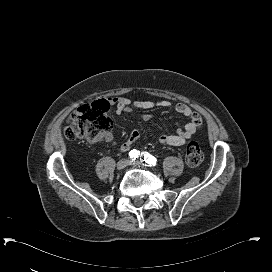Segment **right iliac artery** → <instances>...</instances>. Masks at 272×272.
I'll use <instances>...</instances> for the list:
<instances>
[{
	"label": "right iliac artery",
	"mask_w": 272,
	"mask_h": 272,
	"mask_svg": "<svg viewBox=\"0 0 272 272\" xmlns=\"http://www.w3.org/2000/svg\"><path fill=\"white\" fill-rule=\"evenodd\" d=\"M140 155V152L136 149L130 151L129 156L132 160H135Z\"/></svg>",
	"instance_id": "obj_1"
}]
</instances>
